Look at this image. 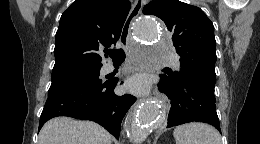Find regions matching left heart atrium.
Instances as JSON below:
<instances>
[{
	"instance_id": "39dd6f15",
	"label": "left heart atrium",
	"mask_w": 260,
	"mask_h": 144,
	"mask_svg": "<svg viewBox=\"0 0 260 144\" xmlns=\"http://www.w3.org/2000/svg\"><path fill=\"white\" fill-rule=\"evenodd\" d=\"M126 88L135 93H145L149 89V81L145 76L136 75L127 81Z\"/></svg>"
}]
</instances>
